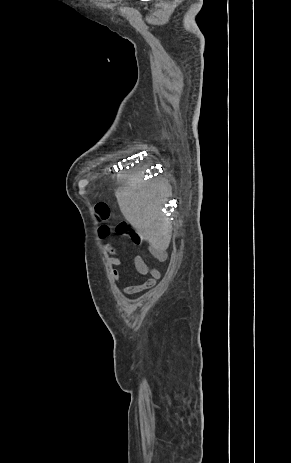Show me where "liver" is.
Segmentation results:
<instances>
[{
	"label": "liver",
	"instance_id": "obj_1",
	"mask_svg": "<svg viewBox=\"0 0 291 463\" xmlns=\"http://www.w3.org/2000/svg\"><path fill=\"white\" fill-rule=\"evenodd\" d=\"M124 181L116 192L119 208L137 234L149 242V250L157 256L164 253L171 240L172 226L162 213L167 195L163 182L145 181L143 173L118 174Z\"/></svg>",
	"mask_w": 291,
	"mask_h": 463
}]
</instances>
